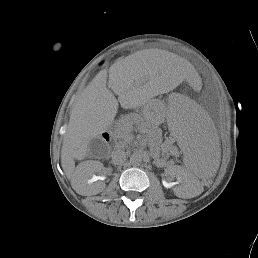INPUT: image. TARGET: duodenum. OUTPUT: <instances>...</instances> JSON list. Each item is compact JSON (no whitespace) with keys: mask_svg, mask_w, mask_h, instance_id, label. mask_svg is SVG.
I'll list each match as a JSON object with an SVG mask.
<instances>
[{"mask_svg":"<svg viewBox=\"0 0 258 258\" xmlns=\"http://www.w3.org/2000/svg\"><path fill=\"white\" fill-rule=\"evenodd\" d=\"M111 139H112L111 137H107V141L112 142V140H111Z\"/></svg>","mask_w":258,"mask_h":258,"instance_id":"1","label":"duodenum"}]
</instances>
